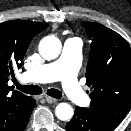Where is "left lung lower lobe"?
<instances>
[{
    "instance_id": "0a47b994",
    "label": "left lung lower lobe",
    "mask_w": 131,
    "mask_h": 131,
    "mask_svg": "<svg viewBox=\"0 0 131 131\" xmlns=\"http://www.w3.org/2000/svg\"><path fill=\"white\" fill-rule=\"evenodd\" d=\"M67 131H111L86 108L76 107L73 118L66 124Z\"/></svg>"
}]
</instances>
